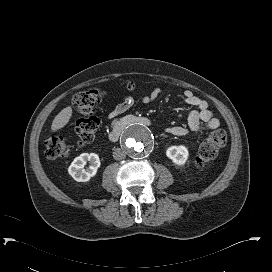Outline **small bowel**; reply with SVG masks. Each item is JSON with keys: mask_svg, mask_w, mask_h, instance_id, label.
<instances>
[{"mask_svg": "<svg viewBox=\"0 0 272 272\" xmlns=\"http://www.w3.org/2000/svg\"><path fill=\"white\" fill-rule=\"evenodd\" d=\"M161 94L159 88L154 89L151 93L146 94L142 97L143 103L153 102ZM184 102L190 106L196 107L191 109L187 113L188 127L184 126H172L167 129V131L175 136H183L192 132L194 134H199L202 130V126L206 129H216L220 127V119L214 115V113L209 109L208 103L196 96L192 91L186 90L184 92ZM134 104L132 97H125L121 103L114 107L111 111L109 117L114 118L123 112L130 109Z\"/></svg>", "mask_w": 272, "mask_h": 272, "instance_id": "obj_1", "label": "small bowel"}]
</instances>
